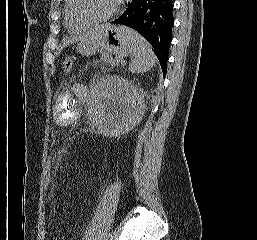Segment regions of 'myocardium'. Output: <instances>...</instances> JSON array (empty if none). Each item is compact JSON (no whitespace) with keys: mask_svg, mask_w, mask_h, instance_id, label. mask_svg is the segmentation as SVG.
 Here are the masks:
<instances>
[{"mask_svg":"<svg viewBox=\"0 0 257 240\" xmlns=\"http://www.w3.org/2000/svg\"><path fill=\"white\" fill-rule=\"evenodd\" d=\"M85 0H74V10L78 18L81 20L88 22L92 25L106 22L113 18L118 11V4H115V7L112 11L104 16H94L89 13L85 8Z\"/></svg>","mask_w":257,"mask_h":240,"instance_id":"myocardium-1","label":"myocardium"}]
</instances>
